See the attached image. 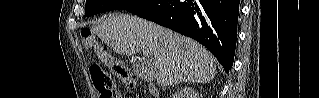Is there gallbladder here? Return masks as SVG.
Wrapping results in <instances>:
<instances>
[{"label":"gallbladder","instance_id":"gallbladder-1","mask_svg":"<svg viewBox=\"0 0 319 98\" xmlns=\"http://www.w3.org/2000/svg\"><path fill=\"white\" fill-rule=\"evenodd\" d=\"M131 63H132V67H133L134 69L138 70L139 66H138V64H137L136 59H132V60H131Z\"/></svg>","mask_w":319,"mask_h":98}]
</instances>
